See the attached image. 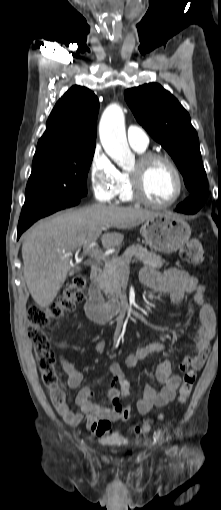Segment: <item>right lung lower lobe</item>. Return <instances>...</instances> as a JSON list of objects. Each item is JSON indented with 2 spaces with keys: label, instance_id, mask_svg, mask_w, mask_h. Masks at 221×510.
Returning a JSON list of instances; mask_svg holds the SVG:
<instances>
[{
  "label": "right lung lower lobe",
  "instance_id": "obj_1",
  "mask_svg": "<svg viewBox=\"0 0 221 510\" xmlns=\"http://www.w3.org/2000/svg\"><path fill=\"white\" fill-rule=\"evenodd\" d=\"M79 202L80 201H77V202L62 206V207H57V208H53L50 210H44V211L38 209L35 206L24 205L22 208L21 216H20L19 223H18L17 238H19L21 236V234L38 219L45 217L47 215H50L58 210L77 205Z\"/></svg>",
  "mask_w": 221,
  "mask_h": 510
}]
</instances>
